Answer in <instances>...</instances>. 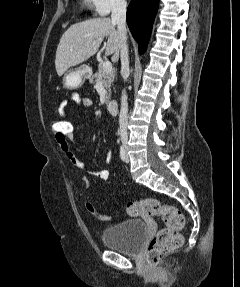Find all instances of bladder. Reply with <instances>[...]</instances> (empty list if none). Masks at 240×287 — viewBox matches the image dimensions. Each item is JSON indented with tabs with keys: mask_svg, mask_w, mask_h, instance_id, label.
<instances>
[{
	"mask_svg": "<svg viewBox=\"0 0 240 287\" xmlns=\"http://www.w3.org/2000/svg\"><path fill=\"white\" fill-rule=\"evenodd\" d=\"M149 236L146 223L141 219H130L107 227L102 239L105 246L126 255H138Z\"/></svg>",
	"mask_w": 240,
	"mask_h": 287,
	"instance_id": "31cf9c89",
	"label": "bladder"
}]
</instances>
